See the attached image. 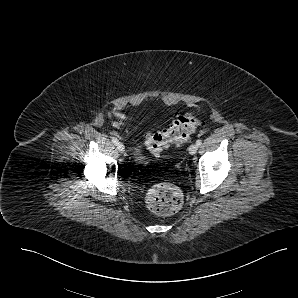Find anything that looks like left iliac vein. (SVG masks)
Instances as JSON below:
<instances>
[{
    "instance_id": "obj_1",
    "label": "left iliac vein",
    "mask_w": 298,
    "mask_h": 298,
    "mask_svg": "<svg viewBox=\"0 0 298 298\" xmlns=\"http://www.w3.org/2000/svg\"><path fill=\"white\" fill-rule=\"evenodd\" d=\"M198 150V146L196 144H192L189 146L188 151L189 154L194 155Z\"/></svg>"
}]
</instances>
